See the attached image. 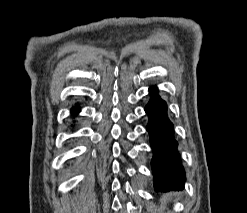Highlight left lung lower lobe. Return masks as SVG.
<instances>
[{"label": "left lung lower lobe", "mask_w": 247, "mask_h": 213, "mask_svg": "<svg viewBox=\"0 0 247 213\" xmlns=\"http://www.w3.org/2000/svg\"><path fill=\"white\" fill-rule=\"evenodd\" d=\"M151 100L145 107L149 116L147 130L154 152L152 169L156 191L181 190L185 172L178 159L177 142L173 137V125L167 117V105L157 95V88H150Z\"/></svg>", "instance_id": "left-lung-lower-lobe-1"}]
</instances>
